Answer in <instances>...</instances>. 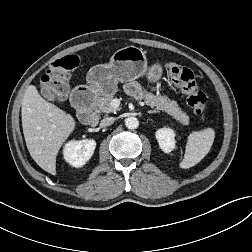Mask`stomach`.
Wrapping results in <instances>:
<instances>
[{"label":"stomach","instance_id":"obj_1","mask_svg":"<svg viewBox=\"0 0 252 252\" xmlns=\"http://www.w3.org/2000/svg\"><path fill=\"white\" fill-rule=\"evenodd\" d=\"M163 73L161 64L148 66L142 48L127 46L117 50L108 64L92 67L87 73V85H79L75 91L90 92L94 96H107L117 92L118 82L135 80L143 75L151 82L158 81Z\"/></svg>","mask_w":252,"mask_h":252}]
</instances>
